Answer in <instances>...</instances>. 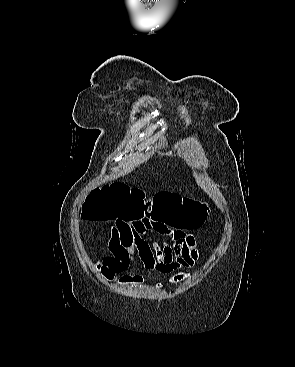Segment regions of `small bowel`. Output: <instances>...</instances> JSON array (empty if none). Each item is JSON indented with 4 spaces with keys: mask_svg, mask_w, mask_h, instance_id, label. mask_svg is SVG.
I'll return each instance as SVG.
<instances>
[{
    "mask_svg": "<svg viewBox=\"0 0 295 367\" xmlns=\"http://www.w3.org/2000/svg\"><path fill=\"white\" fill-rule=\"evenodd\" d=\"M150 233L167 237L170 242L155 244ZM108 250L109 256L102 261V274L121 285L142 284L145 280L142 275L128 274L137 252L148 271L171 275V283L187 277L200 254L194 234L166 220L115 221L110 229Z\"/></svg>",
    "mask_w": 295,
    "mask_h": 367,
    "instance_id": "obj_1",
    "label": "small bowel"
}]
</instances>
